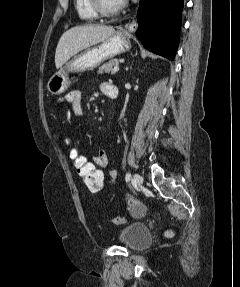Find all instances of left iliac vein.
Wrapping results in <instances>:
<instances>
[{"instance_id": "left-iliac-vein-1", "label": "left iliac vein", "mask_w": 240, "mask_h": 287, "mask_svg": "<svg viewBox=\"0 0 240 287\" xmlns=\"http://www.w3.org/2000/svg\"><path fill=\"white\" fill-rule=\"evenodd\" d=\"M133 182L136 186H140L143 183L142 176L138 173H135L133 176Z\"/></svg>"}]
</instances>
